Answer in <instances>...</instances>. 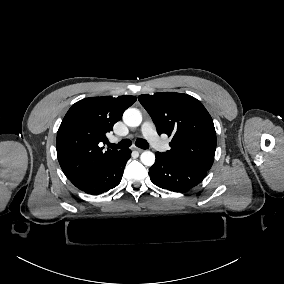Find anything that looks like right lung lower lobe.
Masks as SVG:
<instances>
[{
    "instance_id": "obj_1",
    "label": "right lung lower lobe",
    "mask_w": 284,
    "mask_h": 284,
    "mask_svg": "<svg viewBox=\"0 0 284 284\" xmlns=\"http://www.w3.org/2000/svg\"><path fill=\"white\" fill-rule=\"evenodd\" d=\"M130 157V149L122 150L99 172L77 188L85 193L98 195L116 187L121 181L125 165Z\"/></svg>"
}]
</instances>
